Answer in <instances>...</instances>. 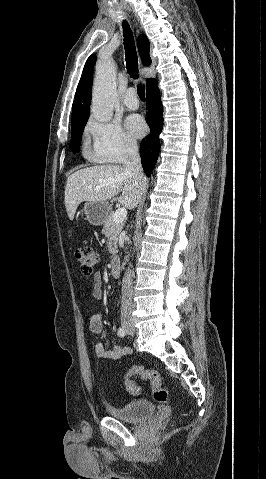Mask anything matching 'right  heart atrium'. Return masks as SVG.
Returning <instances> with one entry per match:
<instances>
[{"label": "right heart atrium", "instance_id": "right-heart-atrium-1", "mask_svg": "<svg viewBox=\"0 0 266 479\" xmlns=\"http://www.w3.org/2000/svg\"><path fill=\"white\" fill-rule=\"evenodd\" d=\"M90 141L88 156L101 163H120L136 152V143L122 129L119 122L91 118L86 126Z\"/></svg>", "mask_w": 266, "mask_h": 479}]
</instances>
